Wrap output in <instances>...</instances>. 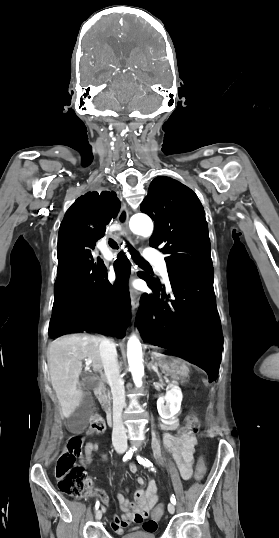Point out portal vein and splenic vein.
<instances>
[{
  "mask_svg": "<svg viewBox=\"0 0 279 538\" xmlns=\"http://www.w3.org/2000/svg\"><path fill=\"white\" fill-rule=\"evenodd\" d=\"M86 366H89V364H92V360H85ZM162 380H166V383H170V380H168V377H162Z\"/></svg>",
  "mask_w": 279,
  "mask_h": 538,
  "instance_id": "18ae733b",
  "label": "portal vein and splenic vein"
}]
</instances>
